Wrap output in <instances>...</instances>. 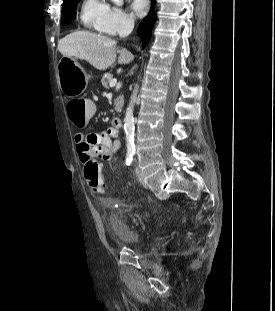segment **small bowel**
Segmentation results:
<instances>
[{"instance_id": "c3829d8e", "label": "small bowel", "mask_w": 275, "mask_h": 311, "mask_svg": "<svg viewBox=\"0 0 275 311\" xmlns=\"http://www.w3.org/2000/svg\"><path fill=\"white\" fill-rule=\"evenodd\" d=\"M119 132L114 125L100 133L77 132L74 143L80 161L86 165L92 160H110L121 146Z\"/></svg>"}]
</instances>
